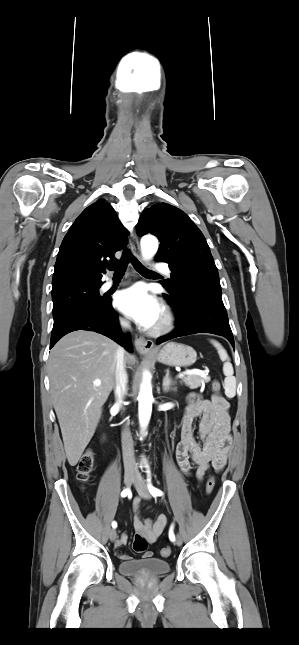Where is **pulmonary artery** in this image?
<instances>
[{
	"label": "pulmonary artery",
	"mask_w": 299,
	"mask_h": 645,
	"mask_svg": "<svg viewBox=\"0 0 299 645\" xmlns=\"http://www.w3.org/2000/svg\"><path fill=\"white\" fill-rule=\"evenodd\" d=\"M154 267H155V269H156V270H159V271H161V272H163V273H165V274H167V275H170V274H171V270H170V268L168 267V265H167V264H164V263H157V264H155V266H154ZM114 285H115V281H114V280H112V279H107V280L104 282V284L102 285V289H103V290H108V289H110L111 287H113Z\"/></svg>",
	"instance_id": "pulmonary-artery-1"
}]
</instances>
